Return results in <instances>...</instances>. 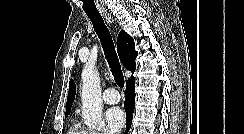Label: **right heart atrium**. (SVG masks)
I'll list each match as a JSON object with an SVG mask.
<instances>
[{
  "instance_id": "d8ad5b80",
  "label": "right heart atrium",
  "mask_w": 244,
  "mask_h": 134,
  "mask_svg": "<svg viewBox=\"0 0 244 134\" xmlns=\"http://www.w3.org/2000/svg\"><path fill=\"white\" fill-rule=\"evenodd\" d=\"M93 134H110L107 131H94Z\"/></svg>"
}]
</instances>
